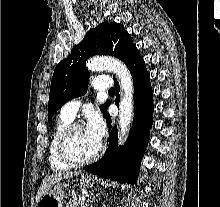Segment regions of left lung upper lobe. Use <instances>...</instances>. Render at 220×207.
<instances>
[{
  "label": "left lung upper lobe",
  "instance_id": "left-lung-upper-lobe-1",
  "mask_svg": "<svg viewBox=\"0 0 220 207\" xmlns=\"http://www.w3.org/2000/svg\"><path fill=\"white\" fill-rule=\"evenodd\" d=\"M135 47L128 32L116 22L101 23L89 30L72 53L55 68L48 105V120L67 101L86 93L89 72L86 60L93 55H112L125 62ZM109 102L101 106L105 114Z\"/></svg>",
  "mask_w": 220,
  "mask_h": 207
}]
</instances>
